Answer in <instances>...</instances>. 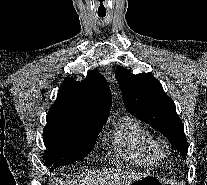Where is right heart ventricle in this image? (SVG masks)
Returning <instances> with one entry per match:
<instances>
[{
    "label": "right heart ventricle",
    "mask_w": 207,
    "mask_h": 185,
    "mask_svg": "<svg viewBox=\"0 0 207 185\" xmlns=\"http://www.w3.org/2000/svg\"><path fill=\"white\" fill-rule=\"evenodd\" d=\"M114 144L120 153L138 164H154L160 159L152 133L132 118L121 121Z\"/></svg>",
    "instance_id": "1"
}]
</instances>
